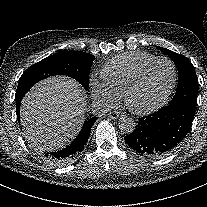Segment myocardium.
<instances>
[{
	"label": "myocardium",
	"instance_id": "myocardium-1",
	"mask_svg": "<svg viewBox=\"0 0 207 207\" xmlns=\"http://www.w3.org/2000/svg\"><path fill=\"white\" fill-rule=\"evenodd\" d=\"M160 62H165L171 65L172 70H173V76H172V82H171V86L167 92L166 98L165 100H168L172 94L174 93L176 84H177V79H178V73H177V68L175 63L169 59V58H165V57H160V58H156L150 62H148L147 64H145L139 71L138 73L128 82V84L126 85L123 93H122V99L123 102L125 104V106L128 108V110L130 112H132L133 114L136 115H141L143 114V110H138L135 109L134 107H132L129 103V96L132 93V91L141 83V81L143 80L146 72L155 64L160 63Z\"/></svg>",
	"mask_w": 207,
	"mask_h": 207
}]
</instances>
